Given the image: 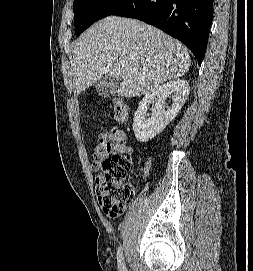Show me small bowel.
<instances>
[{
	"mask_svg": "<svg viewBox=\"0 0 253 271\" xmlns=\"http://www.w3.org/2000/svg\"><path fill=\"white\" fill-rule=\"evenodd\" d=\"M127 138L125 131L112 128L109 132L101 133L96 140L93 160L91 168L93 171L98 170L101 161L112 154H127L133 153V148L124 144Z\"/></svg>",
	"mask_w": 253,
	"mask_h": 271,
	"instance_id": "small-bowel-1",
	"label": "small bowel"
}]
</instances>
